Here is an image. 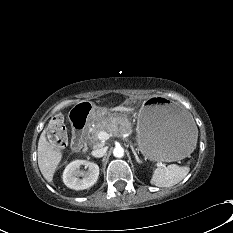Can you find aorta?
I'll return each instance as SVG.
<instances>
[{
    "label": "aorta",
    "instance_id": "aorta-1",
    "mask_svg": "<svg viewBox=\"0 0 233 233\" xmlns=\"http://www.w3.org/2000/svg\"><path fill=\"white\" fill-rule=\"evenodd\" d=\"M113 155L116 157V158H122L124 156V149L121 147V146H116L114 149H113Z\"/></svg>",
    "mask_w": 233,
    "mask_h": 233
}]
</instances>
